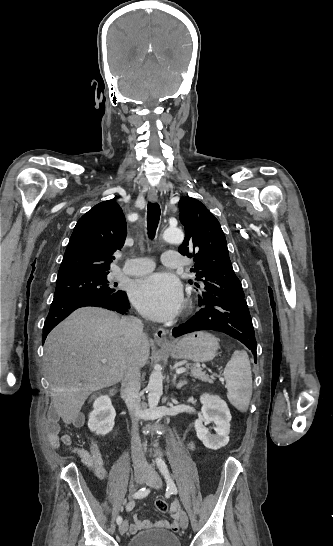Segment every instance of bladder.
<instances>
[{"instance_id": "bladder-1", "label": "bladder", "mask_w": 333, "mask_h": 546, "mask_svg": "<svg viewBox=\"0 0 333 546\" xmlns=\"http://www.w3.org/2000/svg\"><path fill=\"white\" fill-rule=\"evenodd\" d=\"M127 546H181V544L174 533L154 529L132 536Z\"/></svg>"}]
</instances>
